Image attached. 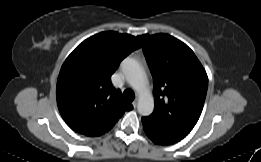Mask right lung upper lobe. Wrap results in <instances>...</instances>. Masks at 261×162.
Segmentation results:
<instances>
[{
  "mask_svg": "<svg viewBox=\"0 0 261 162\" xmlns=\"http://www.w3.org/2000/svg\"><path fill=\"white\" fill-rule=\"evenodd\" d=\"M138 48L134 36L107 31L86 39L68 56L58 76L56 97L71 129L90 137L100 136L125 111L132 110L110 78L120 62Z\"/></svg>",
  "mask_w": 261,
  "mask_h": 162,
  "instance_id": "right-lung-upper-lobe-1",
  "label": "right lung upper lobe"
}]
</instances>
